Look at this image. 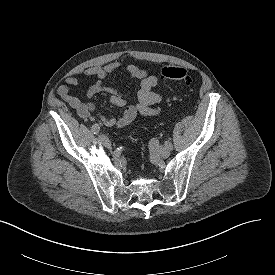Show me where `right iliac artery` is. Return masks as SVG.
<instances>
[{"instance_id":"1","label":"right iliac artery","mask_w":275,"mask_h":275,"mask_svg":"<svg viewBox=\"0 0 275 275\" xmlns=\"http://www.w3.org/2000/svg\"><path fill=\"white\" fill-rule=\"evenodd\" d=\"M91 131H92L94 134L99 133V131H100V126H99L98 124L92 125Z\"/></svg>"}]
</instances>
